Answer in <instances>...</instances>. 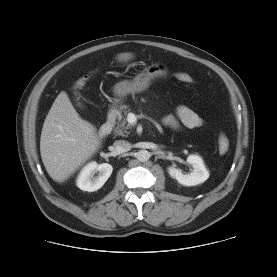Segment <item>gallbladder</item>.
I'll use <instances>...</instances> for the list:
<instances>
[{
	"instance_id": "1",
	"label": "gallbladder",
	"mask_w": 277,
	"mask_h": 277,
	"mask_svg": "<svg viewBox=\"0 0 277 277\" xmlns=\"http://www.w3.org/2000/svg\"><path fill=\"white\" fill-rule=\"evenodd\" d=\"M77 105H78L79 107H81V106H82V104H81V103H78Z\"/></svg>"
}]
</instances>
